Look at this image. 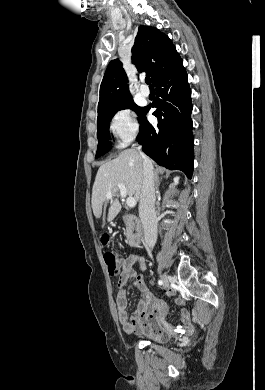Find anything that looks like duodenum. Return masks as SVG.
<instances>
[{
    "label": "duodenum",
    "mask_w": 265,
    "mask_h": 390,
    "mask_svg": "<svg viewBox=\"0 0 265 390\" xmlns=\"http://www.w3.org/2000/svg\"><path fill=\"white\" fill-rule=\"evenodd\" d=\"M123 221L126 226L127 234V243L129 247H138L142 242L143 236L140 230V221L139 219L132 214H126L123 216Z\"/></svg>",
    "instance_id": "1"
}]
</instances>
